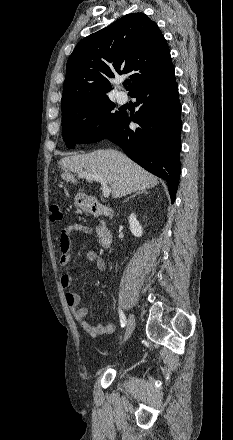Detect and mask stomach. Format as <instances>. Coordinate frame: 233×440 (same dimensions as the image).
Listing matches in <instances>:
<instances>
[{
    "label": "stomach",
    "mask_w": 233,
    "mask_h": 440,
    "mask_svg": "<svg viewBox=\"0 0 233 440\" xmlns=\"http://www.w3.org/2000/svg\"><path fill=\"white\" fill-rule=\"evenodd\" d=\"M74 204L79 209H82L84 211H89L92 205V200L89 196L82 193H78L75 196Z\"/></svg>",
    "instance_id": "stomach-1"
}]
</instances>
